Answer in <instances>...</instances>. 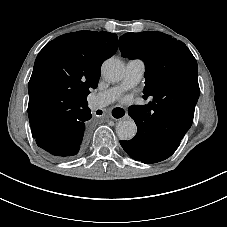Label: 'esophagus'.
Listing matches in <instances>:
<instances>
[{
  "label": "esophagus",
  "instance_id": "obj_1",
  "mask_svg": "<svg viewBox=\"0 0 227 227\" xmlns=\"http://www.w3.org/2000/svg\"><path fill=\"white\" fill-rule=\"evenodd\" d=\"M109 114L115 120H121L124 118L125 111L121 106H115L109 111Z\"/></svg>",
  "mask_w": 227,
  "mask_h": 227
}]
</instances>
